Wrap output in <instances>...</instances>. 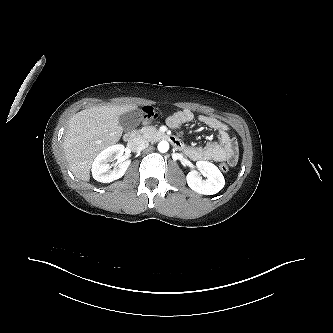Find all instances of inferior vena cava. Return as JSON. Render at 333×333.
Here are the masks:
<instances>
[{"instance_id": "602c4592", "label": "inferior vena cava", "mask_w": 333, "mask_h": 333, "mask_svg": "<svg viewBox=\"0 0 333 333\" xmlns=\"http://www.w3.org/2000/svg\"><path fill=\"white\" fill-rule=\"evenodd\" d=\"M149 145V142L142 138H135L130 141L129 147L132 151H141L145 148H147Z\"/></svg>"}]
</instances>
